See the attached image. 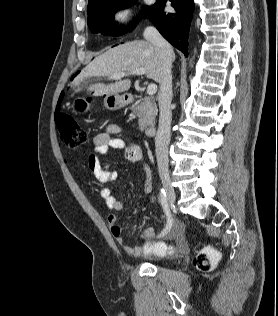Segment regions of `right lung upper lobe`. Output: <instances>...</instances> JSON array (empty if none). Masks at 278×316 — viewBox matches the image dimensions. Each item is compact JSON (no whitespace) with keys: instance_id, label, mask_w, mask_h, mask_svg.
<instances>
[{"instance_id":"obj_1","label":"right lung upper lobe","mask_w":278,"mask_h":316,"mask_svg":"<svg viewBox=\"0 0 278 316\" xmlns=\"http://www.w3.org/2000/svg\"><path fill=\"white\" fill-rule=\"evenodd\" d=\"M108 1V0H88V11L94 8L101 2Z\"/></svg>"}]
</instances>
